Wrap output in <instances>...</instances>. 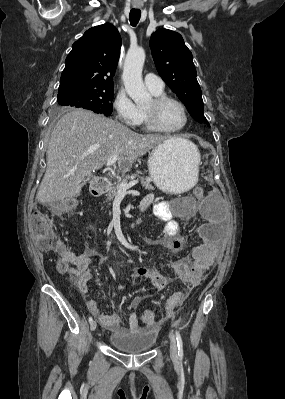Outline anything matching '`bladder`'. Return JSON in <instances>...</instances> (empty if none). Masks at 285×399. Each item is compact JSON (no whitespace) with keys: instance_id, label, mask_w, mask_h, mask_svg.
Instances as JSON below:
<instances>
[{"instance_id":"31cf9c89","label":"bladder","mask_w":285,"mask_h":399,"mask_svg":"<svg viewBox=\"0 0 285 399\" xmlns=\"http://www.w3.org/2000/svg\"><path fill=\"white\" fill-rule=\"evenodd\" d=\"M188 199V198H181ZM109 344L121 353L136 355L149 351L156 341L154 328H135L125 334H112L109 337Z\"/></svg>"}]
</instances>
